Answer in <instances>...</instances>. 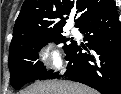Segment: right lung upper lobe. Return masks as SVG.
Here are the masks:
<instances>
[{
    "label": "right lung upper lobe",
    "mask_w": 121,
    "mask_h": 94,
    "mask_svg": "<svg viewBox=\"0 0 121 94\" xmlns=\"http://www.w3.org/2000/svg\"><path fill=\"white\" fill-rule=\"evenodd\" d=\"M114 0H25L16 19L11 44L32 31H59L66 24L70 12L79 14L75 27L81 22L109 7ZM10 44V45H11Z\"/></svg>",
    "instance_id": "right-lung-upper-lobe-1"
}]
</instances>
